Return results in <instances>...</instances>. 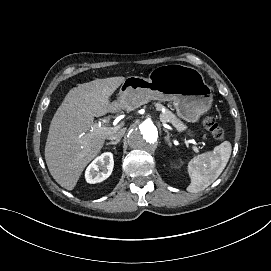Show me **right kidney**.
<instances>
[{
	"label": "right kidney",
	"mask_w": 271,
	"mask_h": 271,
	"mask_svg": "<svg viewBox=\"0 0 271 271\" xmlns=\"http://www.w3.org/2000/svg\"><path fill=\"white\" fill-rule=\"evenodd\" d=\"M114 160L111 152H105L95 158L85 171V179L90 184H95L107 179L113 170Z\"/></svg>",
	"instance_id": "1"
}]
</instances>
